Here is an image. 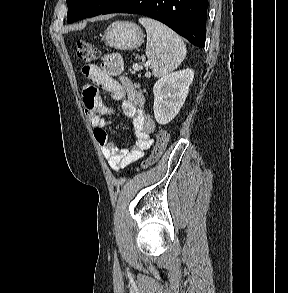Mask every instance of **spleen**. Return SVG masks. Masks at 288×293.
Segmentation results:
<instances>
[{
    "label": "spleen",
    "instance_id": "3e777b00",
    "mask_svg": "<svg viewBox=\"0 0 288 293\" xmlns=\"http://www.w3.org/2000/svg\"><path fill=\"white\" fill-rule=\"evenodd\" d=\"M139 22L147 33L146 56L152 62L154 77H163L176 69L186 55L183 39L166 25L151 18Z\"/></svg>",
    "mask_w": 288,
    "mask_h": 293
}]
</instances>
